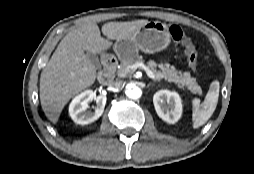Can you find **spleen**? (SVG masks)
<instances>
[{"mask_svg":"<svg viewBox=\"0 0 254 174\" xmlns=\"http://www.w3.org/2000/svg\"><path fill=\"white\" fill-rule=\"evenodd\" d=\"M219 97V82L213 81L205 99L200 103V99H193L192 121L193 128L204 125L214 113Z\"/></svg>","mask_w":254,"mask_h":174,"instance_id":"obj_1","label":"spleen"}]
</instances>
